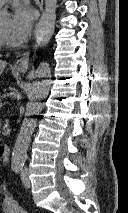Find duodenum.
<instances>
[{
	"instance_id": "obj_1",
	"label": "duodenum",
	"mask_w": 128,
	"mask_h": 213,
	"mask_svg": "<svg viewBox=\"0 0 128 213\" xmlns=\"http://www.w3.org/2000/svg\"><path fill=\"white\" fill-rule=\"evenodd\" d=\"M10 158V147L6 144L0 145V161L8 162Z\"/></svg>"
}]
</instances>
